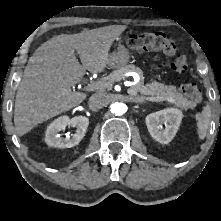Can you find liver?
Listing matches in <instances>:
<instances>
[{
	"label": "liver",
	"instance_id": "1",
	"mask_svg": "<svg viewBox=\"0 0 221 221\" xmlns=\"http://www.w3.org/2000/svg\"><path fill=\"white\" fill-rule=\"evenodd\" d=\"M124 26L111 25L62 34L42 44L31 57L18 87L14 124L23 136L38 124L69 111L87 95L71 87L83 78L85 71L101 73L109 61V50ZM75 50L81 63L75 56Z\"/></svg>",
	"mask_w": 221,
	"mask_h": 221
}]
</instances>
